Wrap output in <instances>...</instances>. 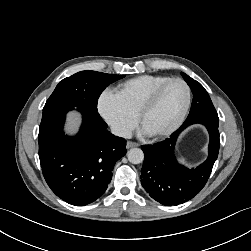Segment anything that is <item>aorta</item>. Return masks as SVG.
I'll list each match as a JSON object with an SVG mask.
<instances>
[{
  "label": "aorta",
  "instance_id": "aorta-1",
  "mask_svg": "<svg viewBox=\"0 0 251 251\" xmlns=\"http://www.w3.org/2000/svg\"><path fill=\"white\" fill-rule=\"evenodd\" d=\"M127 158L132 164H140L144 160V153L140 148H132L128 151Z\"/></svg>",
  "mask_w": 251,
  "mask_h": 251
}]
</instances>
